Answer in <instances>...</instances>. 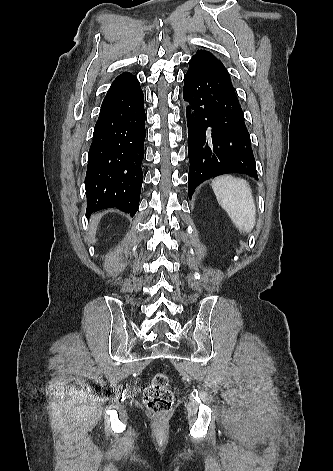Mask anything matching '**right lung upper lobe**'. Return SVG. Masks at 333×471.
I'll return each instance as SVG.
<instances>
[{
	"label": "right lung upper lobe",
	"instance_id": "1",
	"mask_svg": "<svg viewBox=\"0 0 333 471\" xmlns=\"http://www.w3.org/2000/svg\"><path fill=\"white\" fill-rule=\"evenodd\" d=\"M128 75H130V73L128 72H124L122 73L121 75H119L114 82H118V81H122L124 80Z\"/></svg>",
	"mask_w": 333,
	"mask_h": 471
}]
</instances>
